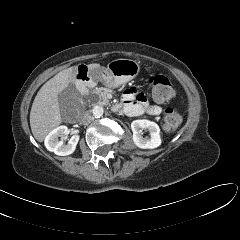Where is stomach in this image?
<instances>
[{
    "label": "stomach",
    "instance_id": "stomach-1",
    "mask_svg": "<svg viewBox=\"0 0 240 240\" xmlns=\"http://www.w3.org/2000/svg\"><path fill=\"white\" fill-rule=\"evenodd\" d=\"M139 71V62L131 59H116L111 61L107 67H99L90 71L89 75L93 81L102 82L109 88H116L135 78Z\"/></svg>",
    "mask_w": 240,
    "mask_h": 240
}]
</instances>
